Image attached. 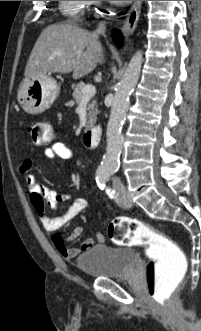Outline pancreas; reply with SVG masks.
<instances>
[{"instance_id":"cf45deb5","label":"pancreas","mask_w":201,"mask_h":331,"mask_svg":"<svg viewBox=\"0 0 201 331\" xmlns=\"http://www.w3.org/2000/svg\"><path fill=\"white\" fill-rule=\"evenodd\" d=\"M87 86L84 82H80L78 84L74 85V91H73V98L77 103L81 102L82 99V89ZM88 122H87V126L86 128H89L91 126H93V124L96 121V116L98 114V110L96 108V101L93 100L88 104Z\"/></svg>"}]
</instances>
